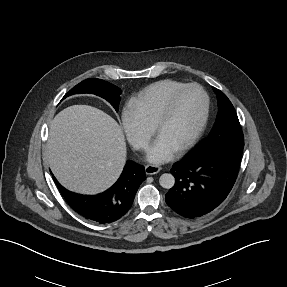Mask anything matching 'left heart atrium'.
<instances>
[{
    "mask_svg": "<svg viewBox=\"0 0 287 287\" xmlns=\"http://www.w3.org/2000/svg\"><path fill=\"white\" fill-rule=\"evenodd\" d=\"M176 149L166 143L163 139L158 138L150 146L147 153V159L151 162L160 163L169 160Z\"/></svg>",
    "mask_w": 287,
    "mask_h": 287,
    "instance_id": "39dd6f15",
    "label": "left heart atrium"
}]
</instances>
